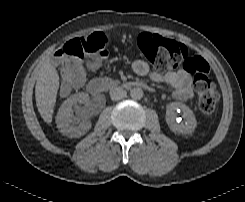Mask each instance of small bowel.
I'll return each instance as SVG.
<instances>
[{
  "mask_svg": "<svg viewBox=\"0 0 245 202\" xmlns=\"http://www.w3.org/2000/svg\"><path fill=\"white\" fill-rule=\"evenodd\" d=\"M132 69L135 74L141 77H147L156 83H165L172 88V95L175 99L180 101H187L193 96L192 92V79L191 76L184 70L171 71L166 74L151 70L149 65L143 60H137L133 63ZM93 72L98 70L96 65L92 66ZM82 81L78 84L82 85ZM71 90L67 84H60L59 91L61 94L66 95Z\"/></svg>",
  "mask_w": 245,
  "mask_h": 202,
  "instance_id": "small-bowel-1",
  "label": "small bowel"
}]
</instances>
